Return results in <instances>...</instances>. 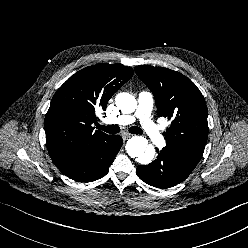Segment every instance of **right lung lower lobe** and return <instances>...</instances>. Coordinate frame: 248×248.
I'll return each mask as SVG.
<instances>
[{
  "label": "right lung lower lobe",
  "instance_id": "98d812e1",
  "mask_svg": "<svg viewBox=\"0 0 248 248\" xmlns=\"http://www.w3.org/2000/svg\"><path fill=\"white\" fill-rule=\"evenodd\" d=\"M122 142L119 135H108L105 139L79 151L56 166L64 175L78 182L100 179L108 173Z\"/></svg>",
  "mask_w": 248,
  "mask_h": 248
}]
</instances>
